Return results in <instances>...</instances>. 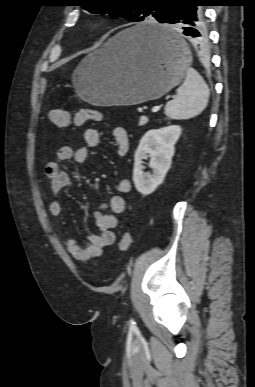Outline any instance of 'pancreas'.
<instances>
[{"label": "pancreas", "instance_id": "1", "mask_svg": "<svg viewBox=\"0 0 255 387\" xmlns=\"http://www.w3.org/2000/svg\"><path fill=\"white\" fill-rule=\"evenodd\" d=\"M142 119V120H141ZM140 121H139V126H142L144 124H146L148 122V119L147 118H141Z\"/></svg>", "mask_w": 255, "mask_h": 387}]
</instances>
